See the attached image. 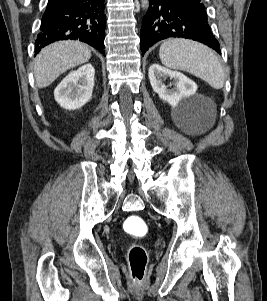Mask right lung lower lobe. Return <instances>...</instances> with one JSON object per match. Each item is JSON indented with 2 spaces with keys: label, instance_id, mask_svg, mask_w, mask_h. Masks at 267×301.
Returning <instances> with one entry per match:
<instances>
[{
  "label": "right lung lower lobe",
  "instance_id": "1",
  "mask_svg": "<svg viewBox=\"0 0 267 301\" xmlns=\"http://www.w3.org/2000/svg\"><path fill=\"white\" fill-rule=\"evenodd\" d=\"M104 0H49L42 16L35 53L59 40L83 41L105 56Z\"/></svg>",
  "mask_w": 267,
  "mask_h": 301
}]
</instances>
